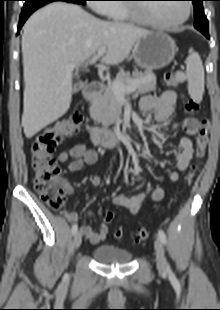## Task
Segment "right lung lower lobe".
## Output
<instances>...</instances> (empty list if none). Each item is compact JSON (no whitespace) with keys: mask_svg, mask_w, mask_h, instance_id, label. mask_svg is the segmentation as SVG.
Wrapping results in <instances>:
<instances>
[{"mask_svg":"<svg viewBox=\"0 0 220 310\" xmlns=\"http://www.w3.org/2000/svg\"><path fill=\"white\" fill-rule=\"evenodd\" d=\"M52 1H66V2H70V3H77V4H83L82 2L78 1V0H45L43 2L40 3H36V4H24L23 8H22V12L20 15V19H19V25H18V33L22 27V25L24 24V22L27 20V18L38 8L42 7L43 5L50 3Z\"/></svg>","mask_w":220,"mask_h":310,"instance_id":"98d812e1","label":"right lung lower lobe"}]
</instances>
